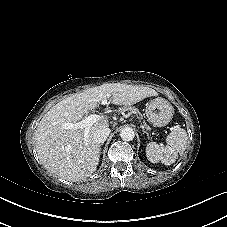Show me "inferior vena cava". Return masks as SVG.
<instances>
[{"label":"inferior vena cava","instance_id":"obj_1","mask_svg":"<svg viewBox=\"0 0 227 227\" xmlns=\"http://www.w3.org/2000/svg\"><path fill=\"white\" fill-rule=\"evenodd\" d=\"M110 132H111L110 128H107V127L98 129L93 135V139L95 143L97 144L104 143L108 138Z\"/></svg>","mask_w":227,"mask_h":227}]
</instances>
